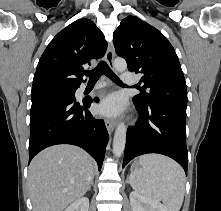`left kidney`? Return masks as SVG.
Listing matches in <instances>:
<instances>
[{
	"label": "left kidney",
	"mask_w": 221,
	"mask_h": 211,
	"mask_svg": "<svg viewBox=\"0 0 221 211\" xmlns=\"http://www.w3.org/2000/svg\"><path fill=\"white\" fill-rule=\"evenodd\" d=\"M132 211H169L157 200L148 198L136 191L130 193Z\"/></svg>",
	"instance_id": "left-kidney-1"
}]
</instances>
